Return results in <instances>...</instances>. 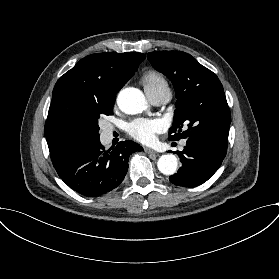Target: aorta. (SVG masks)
Returning a JSON list of instances; mask_svg holds the SVG:
<instances>
[{
  "instance_id": "762f6f07",
  "label": "aorta",
  "mask_w": 279,
  "mask_h": 279,
  "mask_svg": "<svg viewBox=\"0 0 279 279\" xmlns=\"http://www.w3.org/2000/svg\"><path fill=\"white\" fill-rule=\"evenodd\" d=\"M117 104L121 111L126 114H138L147 107L144 94L137 88H125L120 91L117 97ZM157 166L164 175H173L178 167V161L174 154L168 153L162 155Z\"/></svg>"
}]
</instances>
